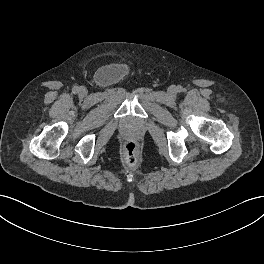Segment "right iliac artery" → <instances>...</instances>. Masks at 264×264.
Masks as SVG:
<instances>
[{"instance_id": "right-iliac-artery-1", "label": "right iliac artery", "mask_w": 264, "mask_h": 264, "mask_svg": "<svg viewBox=\"0 0 264 264\" xmlns=\"http://www.w3.org/2000/svg\"><path fill=\"white\" fill-rule=\"evenodd\" d=\"M72 91H73V93H78L79 92V87L78 86H74Z\"/></svg>"}]
</instances>
